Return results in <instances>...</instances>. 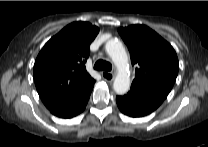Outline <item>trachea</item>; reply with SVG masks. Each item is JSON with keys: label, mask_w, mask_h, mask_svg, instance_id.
Here are the masks:
<instances>
[{"label": "trachea", "mask_w": 208, "mask_h": 147, "mask_svg": "<svg viewBox=\"0 0 208 147\" xmlns=\"http://www.w3.org/2000/svg\"><path fill=\"white\" fill-rule=\"evenodd\" d=\"M94 69L98 70V71H101V70L111 71L112 70V65H111V63L100 59L95 63Z\"/></svg>", "instance_id": "3493384b"}]
</instances>
